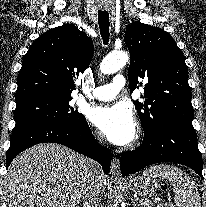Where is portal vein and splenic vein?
Masks as SVG:
<instances>
[{
	"label": "portal vein and splenic vein",
	"instance_id": "obj_1",
	"mask_svg": "<svg viewBox=\"0 0 206 207\" xmlns=\"http://www.w3.org/2000/svg\"><path fill=\"white\" fill-rule=\"evenodd\" d=\"M139 205H142L141 200L136 201Z\"/></svg>",
	"mask_w": 206,
	"mask_h": 207
}]
</instances>
